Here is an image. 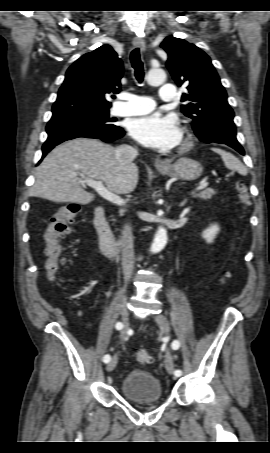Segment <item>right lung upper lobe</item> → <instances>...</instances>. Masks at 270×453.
Returning a JSON list of instances; mask_svg holds the SVG:
<instances>
[{
  "instance_id": "obj_1",
  "label": "right lung upper lobe",
  "mask_w": 270,
  "mask_h": 453,
  "mask_svg": "<svg viewBox=\"0 0 270 453\" xmlns=\"http://www.w3.org/2000/svg\"><path fill=\"white\" fill-rule=\"evenodd\" d=\"M122 75L123 63L109 45L83 55L66 72L52 107V118L109 110L111 103L105 94L119 92Z\"/></svg>"
}]
</instances>
